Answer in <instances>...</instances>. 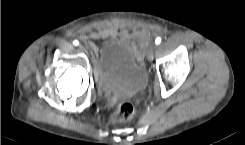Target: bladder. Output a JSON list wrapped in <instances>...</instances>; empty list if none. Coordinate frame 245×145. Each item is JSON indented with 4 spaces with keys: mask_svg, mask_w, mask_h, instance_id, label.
I'll list each match as a JSON object with an SVG mask.
<instances>
[{
    "mask_svg": "<svg viewBox=\"0 0 245 145\" xmlns=\"http://www.w3.org/2000/svg\"><path fill=\"white\" fill-rule=\"evenodd\" d=\"M95 72L105 93L131 97L146 87L144 66L130 38L106 37L95 59Z\"/></svg>",
    "mask_w": 245,
    "mask_h": 145,
    "instance_id": "31cf9c89",
    "label": "bladder"
}]
</instances>
